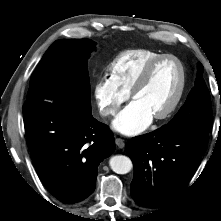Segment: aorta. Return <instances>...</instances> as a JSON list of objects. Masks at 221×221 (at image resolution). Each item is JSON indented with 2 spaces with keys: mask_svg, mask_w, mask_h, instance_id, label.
<instances>
[{
  "mask_svg": "<svg viewBox=\"0 0 221 221\" xmlns=\"http://www.w3.org/2000/svg\"><path fill=\"white\" fill-rule=\"evenodd\" d=\"M109 165L111 169L118 174H127L133 167L130 158L124 155H115L111 157Z\"/></svg>",
  "mask_w": 221,
  "mask_h": 221,
  "instance_id": "aorta-1",
  "label": "aorta"
}]
</instances>
